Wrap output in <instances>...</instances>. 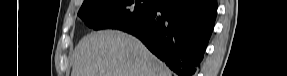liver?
<instances>
[{"label": "liver", "mask_w": 287, "mask_h": 76, "mask_svg": "<svg viewBox=\"0 0 287 76\" xmlns=\"http://www.w3.org/2000/svg\"><path fill=\"white\" fill-rule=\"evenodd\" d=\"M71 76H171L169 68L137 38L120 31L83 37L73 52Z\"/></svg>", "instance_id": "1"}]
</instances>
